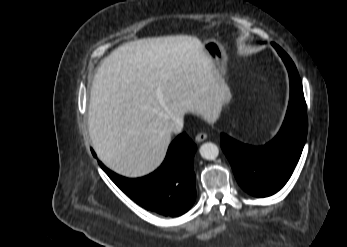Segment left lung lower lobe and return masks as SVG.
<instances>
[{
  "mask_svg": "<svg viewBox=\"0 0 347 247\" xmlns=\"http://www.w3.org/2000/svg\"><path fill=\"white\" fill-rule=\"evenodd\" d=\"M290 79V100L278 134L264 146L253 147L221 134V147L240 186L256 197L278 192L289 180L307 136L303 87L291 58L275 43Z\"/></svg>",
  "mask_w": 347,
  "mask_h": 247,
  "instance_id": "1",
  "label": "left lung lower lobe"
}]
</instances>
